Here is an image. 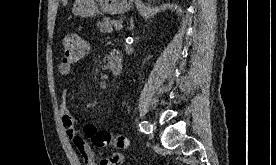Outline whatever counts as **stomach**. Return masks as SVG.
<instances>
[{
    "instance_id": "0dacf381",
    "label": "stomach",
    "mask_w": 276,
    "mask_h": 165,
    "mask_svg": "<svg viewBox=\"0 0 276 165\" xmlns=\"http://www.w3.org/2000/svg\"><path fill=\"white\" fill-rule=\"evenodd\" d=\"M132 2L133 0H75L72 13L79 17H93L97 13L121 14L131 8Z\"/></svg>"
}]
</instances>
